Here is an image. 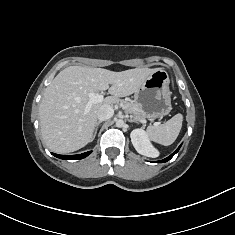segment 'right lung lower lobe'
<instances>
[{"instance_id":"obj_1","label":"right lung lower lobe","mask_w":235,"mask_h":235,"mask_svg":"<svg viewBox=\"0 0 235 235\" xmlns=\"http://www.w3.org/2000/svg\"><path fill=\"white\" fill-rule=\"evenodd\" d=\"M92 151H89V152H85V153H82V154H78V155H59V154H54V156H56L57 158H60V159H64V160H75V159H82V158H85L87 157Z\"/></svg>"}]
</instances>
